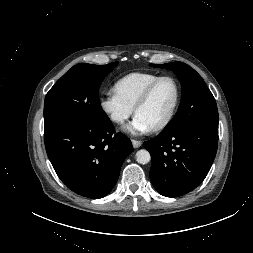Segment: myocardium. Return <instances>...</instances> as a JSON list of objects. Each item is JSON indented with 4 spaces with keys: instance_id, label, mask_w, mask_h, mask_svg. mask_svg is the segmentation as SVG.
I'll return each mask as SVG.
<instances>
[{
    "instance_id": "f54148a6",
    "label": "myocardium",
    "mask_w": 253,
    "mask_h": 253,
    "mask_svg": "<svg viewBox=\"0 0 253 253\" xmlns=\"http://www.w3.org/2000/svg\"><path fill=\"white\" fill-rule=\"evenodd\" d=\"M163 80H171L173 82L175 86V91H176L175 100L168 116L161 123H159L157 126L152 128V131L154 132H158L165 129L173 121L177 113V110L179 108V104L181 101V87L178 80L171 75H164V76L158 77L157 79H155L152 83L148 85V87L144 90V92L142 93V95L140 96V98L138 99V101L136 102L133 108L134 114L136 115L138 110L148 102V100L150 99L157 85Z\"/></svg>"
}]
</instances>
